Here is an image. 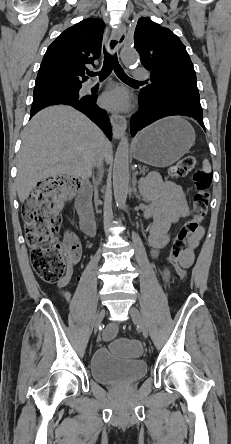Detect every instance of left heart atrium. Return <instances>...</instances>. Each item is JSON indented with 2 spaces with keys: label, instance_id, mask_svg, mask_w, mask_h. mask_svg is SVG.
I'll return each instance as SVG.
<instances>
[{
  "label": "left heart atrium",
  "instance_id": "obj_1",
  "mask_svg": "<svg viewBox=\"0 0 231 444\" xmlns=\"http://www.w3.org/2000/svg\"><path fill=\"white\" fill-rule=\"evenodd\" d=\"M101 104L109 110H125L129 104L127 92L122 88L111 89L102 95Z\"/></svg>",
  "mask_w": 231,
  "mask_h": 444
}]
</instances>
